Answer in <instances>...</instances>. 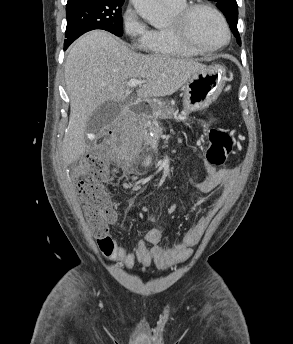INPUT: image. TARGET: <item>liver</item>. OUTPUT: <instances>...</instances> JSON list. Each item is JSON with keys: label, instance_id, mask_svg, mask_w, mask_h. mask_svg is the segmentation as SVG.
I'll list each match as a JSON object with an SVG mask.
<instances>
[{"label": "liver", "instance_id": "liver-1", "mask_svg": "<svg viewBox=\"0 0 293 344\" xmlns=\"http://www.w3.org/2000/svg\"><path fill=\"white\" fill-rule=\"evenodd\" d=\"M204 67L193 59L136 53L101 30L79 38L65 62L70 119L62 143L64 164L78 160L85 151L86 124L95 110L107 101L121 103L127 99L128 80L144 81L137 97L150 100L172 95Z\"/></svg>", "mask_w": 293, "mask_h": 344}]
</instances>
